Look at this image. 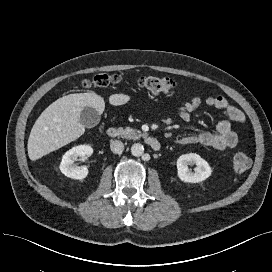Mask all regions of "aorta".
I'll list each match as a JSON object with an SVG mask.
<instances>
[{
	"label": "aorta",
	"instance_id": "762f6f07",
	"mask_svg": "<svg viewBox=\"0 0 272 272\" xmlns=\"http://www.w3.org/2000/svg\"><path fill=\"white\" fill-rule=\"evenodd\" d=\"M131 153L135 157L142 156L143 153H144V147H143V145L140 144V143L133 144L132 147H131Z\"/></svg>",
	"mask_w": 272,
	"mask_h": 272
}]
</instances>
